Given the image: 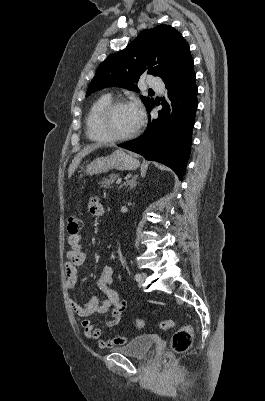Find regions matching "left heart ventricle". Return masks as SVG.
Masks as SVG:
<instances>
[{
	"instance_id": "left-heart-ventricle-1",
	"label": "left heart ventricle",
	"mask_w": 265,
	"mask_h": 401,
	"mask_svg": "<svg viewBox=\"0 0 265 401\" xmlns=\"http://www.w3.org/2000/svg\"><path fill=\"white\" fill-rule=\"evenodd\" d=\"M137 124L131 105L117 107L106 119V129L114 136L130 133Z\"/></svg>"
}]
</instances>
